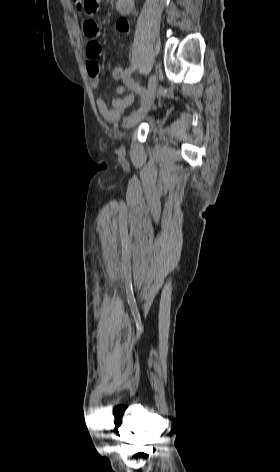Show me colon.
I'll list each match as a JSON object with an SVG mask.
<instances>
[{
    "label": "colon",
    "instance_id": "5ec220e1",
    "mask_svg": "<svg viewBox=\"0 0 280 472\" xmlns=\"http://www.w3.org/2000/svg\"><path fill=\"white\" fill-rule=\"evenodd\" d=\"M74 2L87 14H94L98 9L100 0H74ZM111 73L114 79L120 80L122 78L123 68L121 66H114L111 69Z\"/></svg>",
    "mask_w": 280,
    "mask_h": 472
}]
</instances>
